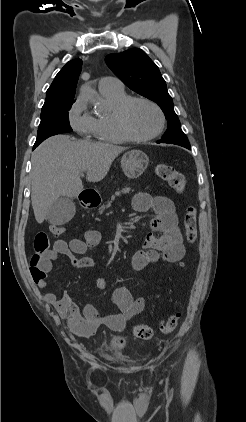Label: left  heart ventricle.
Wrapping results in <instances>:
<instances>
[{
    "instance_id": "b2bd125f",
    "label": "left heart ventricle",
    "mask_w": 246,
    "mask_h": 422,
    "mask_svg": "<svg viewBox=\"0 0 246 422\" xmlns=\"http://www.w3.org/2000/svg\"><path fill=\"white\" fill-rule=\"evenodd\" d=\"M128 123L134 133L139 136H146L158 129L160 118L152 106L137 102L128 111Z\"/></svg>"
}]
</instances>
